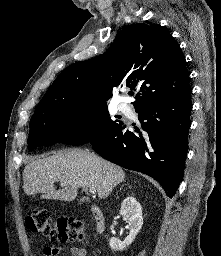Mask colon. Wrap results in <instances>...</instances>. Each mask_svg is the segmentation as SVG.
Listing matches in <instances>:
<instances>
[{
  "label": "colon",
  "instance_id": "1",
  "mask_svg": "<svg viewBox=\"0 0 221 256\" xmlns=\"http://www.w3.org/2000/svg\"><path fill=\"white\" fill-rule=\"evenodd\" d=\"M26 225L30 231L41 233L56 242L66 243L84 238V226L81 221L73 218H58L54 221L44 208L32 211L26 217ZM49 251L58 253L55 246L49 247Z\"/></svg>",
  "mask_w": 221,
  "mask_h": 256
}]
</instances>
